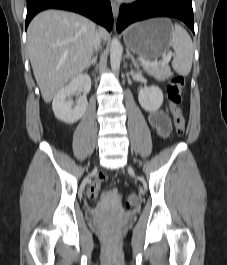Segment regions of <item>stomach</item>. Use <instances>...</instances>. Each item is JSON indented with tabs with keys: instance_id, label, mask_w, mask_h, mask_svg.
<instances>
[{
	"instance_id": "obj_1",
	"label": "stomach",
	"mask_w": 227,
	"mask_h": 265,
	"mask_svg": "<svg viewBox=\"0 0 227 265\" xmlns=\"http://www.w3.org/2000/svg\"><path fill=\"white\" fill-rule=\"evenodd\" d=\"M174 28L166 18H155L128 27L124 41L140 57L151 60L164 55L172 41Z\"/></svg>"
}]
</instances>
